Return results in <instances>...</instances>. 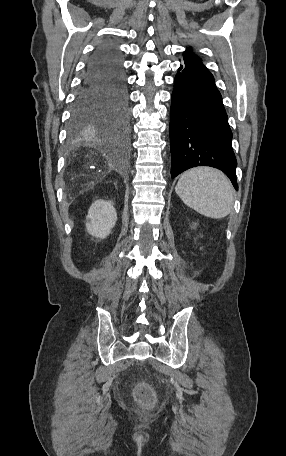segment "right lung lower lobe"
<instances>
[{
	"mask_svg": "<svg viewBox=\"0 0 286 456\" xmlns=\"http://www.w3.org/2000/svg\"><path fill=\"white\" fill-rule=\"evenodd\" d=\"M129 123L128 91L120 60L113 49L101 47L87 64L74 102L70 130L81 133L98 125L122 138L128 133ZM118 124L127 126L122 134L113 129Z\"/></svg>",
	"mask_w": 286,
	"mask_h": 456,
	"instance_id": "obj_1",
	"label": "right lung lower lobe"
}]
</instances>
